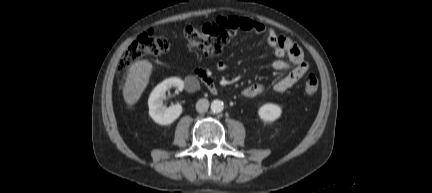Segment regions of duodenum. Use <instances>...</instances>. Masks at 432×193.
I'll return each mask as SVG.
<instances>
[{
	"mask_svg": "<svg viewBox=\"0 0 432 193\" xmlns=\"http://www.w3.org/2000/svg\"><path fill=\"white\" fill-rule=\"evenodd\" d=\"M194 76L199 78L213 94H218V87L216 83L205 70L203 69L195 70Z\"/></svg>",
	"mask_w": 432,
	"mask_h": 193,
	"instance_id": "410a0bca",
	"label": "duodenum"
}]
</instances>
